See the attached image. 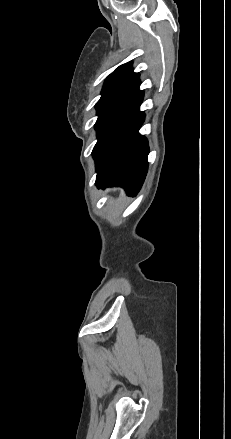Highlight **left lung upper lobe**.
<instances>
[{"label":"left lung upper lobe","mask_w":231,"mask_h":439,"mask_svg":"<svg viewBox=\"0 0 231 439\" xmlns=\"http://www.w3.org/2000/svg\"><path fill=\"white\" fill-rule=\"evenodd\" d=\"M139 85V73L133 72L132 62L125 63L116 68L107 77L102 88L101 98L96 103L97 122Z\"/></svg>","instance_id":"5c2ea615"}]
</instances>
